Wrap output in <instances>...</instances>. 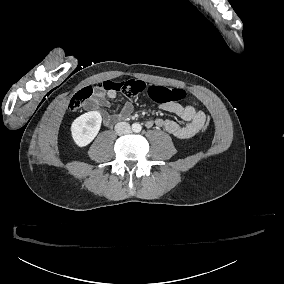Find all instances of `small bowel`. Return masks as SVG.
<instances>
[{
  "mask_svg": "<svg viewBox=\"0 0 284 284\" xmlns=\"http://www.w3.org/2000/svg\"><path fill=\"white\" fill-rule=\"evenodd\" d=\"M109 99L116 97L115 92H107ZM109 107V102L103 94H96L90 101L89 108H106ZM160 108L166 112L175 114L183 121L184 124L177 123L173 120L167 119H154L147 122V127H162L169 134L178 139H189L195 136L204 126L205 114L204 112L197 110L191 105L182 106L177 103H164L160 105ZM134 110V105L131 101H127L120 112L117 114L118 118H128ZM104 119L110 121L112 115L108 112H104Z\"/></svg>",
  "mask_w": 284,
  "mask_h": 284,
  "instance_id": "small-bowel-1",
  "label": "small bowel"
}]
</instances>
